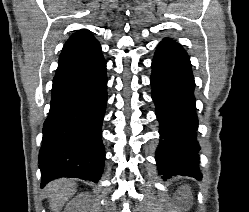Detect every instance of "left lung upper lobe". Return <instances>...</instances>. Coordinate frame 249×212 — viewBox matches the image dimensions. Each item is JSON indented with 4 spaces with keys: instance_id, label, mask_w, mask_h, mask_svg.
Listing matches in <instances>:
<instances>
[{
    "instance_id": "left-lung-upper-lobe-1",
    "label": "left lung upper lobe",
    "mask_w": 249,
    "mask_h": 212,
    "mask_svg": "<svg viewBox=\"0 0 249 212\" xmlns=\"http://www.w3.org/2000/svg\"><path fill=\"white\" fill-rule=\"evenodd\" d=\"M164 40H171V41H174V40H172V39H169V38H165Z\"/></svg>"
}]
</instances>
